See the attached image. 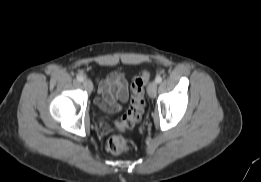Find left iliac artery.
Masks as SVG:
<instances>
[{"mask_svg":"<svg viewBox=\"0 0 261 182\" xmlns=\"http://www.w3.org/2000/svg\"><path fill=\"white\" fill-rule=\"evenodd\" d=\"M162 81V77L161 76H157L156 78H155V82L156 83H160Z\"/></svg>","mask_w":261,"mask_h":182,"instance_id":"1","label":"left iliac artery"}]
</instances>
